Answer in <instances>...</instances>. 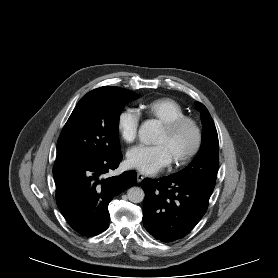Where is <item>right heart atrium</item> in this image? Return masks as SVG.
Instances as JSON below:
<instances>
[{
	"label": "right heart atrium",
	"instance_id": "right-heart-atrium-1",
	"mask_svg": "<svg viewBox=\"0 0 278 278\" xmlns=\"http://www.w3.org/2000/svg\"><path fill=\"white\" fill-rule=\"evenodd\" d=\"M140 123V115L133 108L123 109L117 117V130L121 138L131 143L137 136V131Z\"/></svg>",
	"mask_w": 278,
	"mask_h": 278
}]
</instances>
